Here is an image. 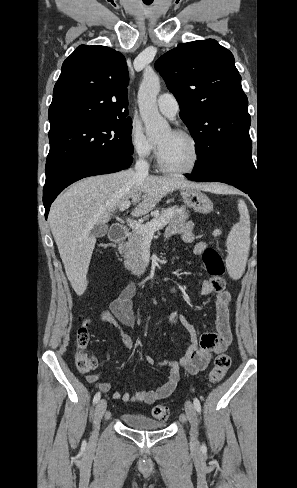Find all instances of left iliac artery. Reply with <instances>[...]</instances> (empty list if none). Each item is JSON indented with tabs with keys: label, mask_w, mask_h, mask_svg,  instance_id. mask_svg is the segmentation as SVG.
Returning a JSON list of instances; mask_svg holds the SVG:
<instances>
[{
	"label": "left iliac artery",
	"mask_w": 297,
	"mask_h": 488,
	"mask_svg": "<svg viewBox=\"0 0 297 488\" xmlns=\"http://www.w3.org/2000/svg\"><path fill=\"white\" fill-rule=\"evenodd\" d=\"M193 404H194L195 409L200 413L201 412V404H200V401L198 400V398H194ZM201 449L203 451H205L206 446L203 444Z\"/></svg>",
	"instance_id": "44dca946"
}]
</instances>
